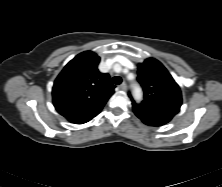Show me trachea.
<instances>
[{
	"instance_id": "trachea-1",
	"label": "trachea",
	"mask_w": 222,
	"mask_h": 187,
	"mask_svg": "<svg viewBox=\"0 0 222 187\" xmlns=\"http://www.w3.org/2000/svg\"><path fill=\"white\" fill-rule=\"evenodd\" d=\"M112 82L116 85H119L122 83V78L119 76H115V77H113Z\"/></svg>"
}]
</instances>
